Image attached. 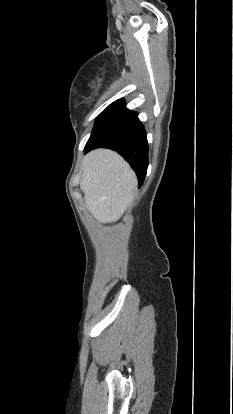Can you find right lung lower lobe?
<instances>
[{
  "label": "right lung lower lobe",
  "mask_w": 233,
  "mask_h": 414,
  "mask_svg": "<svg viewBox=\"0 0 233 414\" xmlns=\"http://www.w3.org/2000/svg\"><path fill=\"white\" fill-rule=\"evenodd\" d=\"M137 115L125 108L123 100L113 102L97 117L84 153L95 148L115 150L129 162L141 187L148 167V142Z\"/></svg>",
  "instance_id": "1"
}]
</instances>
